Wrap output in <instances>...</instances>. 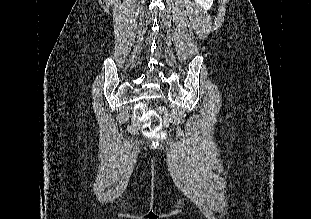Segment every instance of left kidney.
<instances>
[{"mask_svg": "<svg viewBox=\"0 0 311 219\" xmlns=\"http://www.w3.org/2000/svg\"><path fill=\"white\" fill-rule=\"evenodd\" d=\"M203 9L209 10L213 4V0H195Z\"/></svg>", "mask_w": 311, "mask_h": 219, "instance_id": "left-kidney-1", "label": "left kidney"}]
</instances>
